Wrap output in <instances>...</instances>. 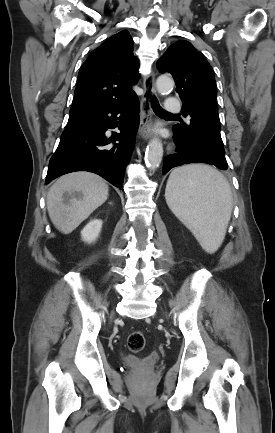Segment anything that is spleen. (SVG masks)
<instances>
[{"label":"spleen","instance_id":"spleen-1","mask_svg":"<svg viewBox=\"0 0 275 433\" xmlns=\"http://www.w3.org/2000/svg\"><path fill=\"white\" fill-rule=\"evenodd\" d=\"M165 198L206 252L221 246L233 207L231 188L222 173L203 164L178 167L169 176Z\"/></svg>","mask_w":275,"mask_h":433}]
</instances>
